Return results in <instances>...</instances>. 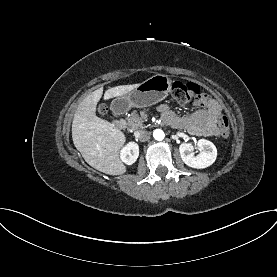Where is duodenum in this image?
Here are the masks:
<instances>
[{"instance_id": "410a0bca", "label": "duodenum", "mask_w": 277, "mask_h": 277, "mask_svg": "<svg viewBox=\"0 0 277 277\" xmlns=\"http://www.w3.org/2000/svg\"><path fill=\"white\" fill-rule=\"evenodd\" d=\"M115 113L120 115L122 114L123 110L120 108H115ZM114 126L118 129H122L125 126V121L123 119H117L113 122Z\"/></svg>"}]
</instances>
